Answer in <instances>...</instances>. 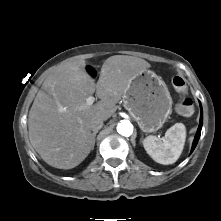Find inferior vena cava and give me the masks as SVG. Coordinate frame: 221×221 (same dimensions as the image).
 Segmentation results:
<instances>
[{"label":"inferior vena cava","mask_w":221,"mask_h":221,"mask_svg":"<svg viewBox=\"0 0 221 221\" xmlns=\"http://www.w3.org/2000/svg\"><path fill=\"white\" fill-rule=\"evenodd\" d=\"M102 126H103V120L101 119L93 120L89 125L90 130L93 132L100 130Z\"/></svg>","instance_id":"inferior-vena-cava-1"}]
</instances>
